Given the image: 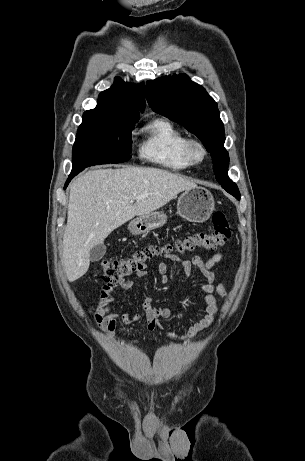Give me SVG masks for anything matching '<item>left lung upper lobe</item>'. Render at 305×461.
Returning a JSON list of instances; mask_svg holds the SVG:
<instances>
[{"instance_id":"left-lung-upper-lobe-1","label":"left lung upper lobe","mask_w":305,"mask_h":461,"mask_svg":"<svg viewBox=\"0 0 305 461\" xmlns=\"http://www.w3.org/2000/svg\"><path fill=\"white\" fill-rule=\"evenodd\" d=\"M146 98L154 112L185 126L202 141L211 153L217 181L239 200L238 187L227 175L229 156L224 148V126L217 103L206 90L186 74H179L148 81Z\"/></svg>"}]
</instances>
